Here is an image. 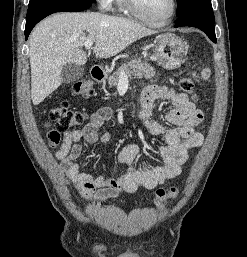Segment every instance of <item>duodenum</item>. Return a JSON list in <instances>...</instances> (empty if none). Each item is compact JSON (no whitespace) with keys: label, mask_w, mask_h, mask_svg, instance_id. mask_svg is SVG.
I'll use <instances>...</instances> for the list:
<instances>
[{"label":"duodenum","mask_w":247,"mask_h":257,"mask_svg":"<svg viewBox=\"0 0 247 257\" xmlns=\"http://www.w3.org/2000/svg\"><path fill=\"white\" fill-rule=\"evenodd\" d=\"M91 77L97 83L102 82L105 79L104 70L100 66H93L91 68Z\"/></svg>","instance_id":"410a0bca"}]
</instances>
